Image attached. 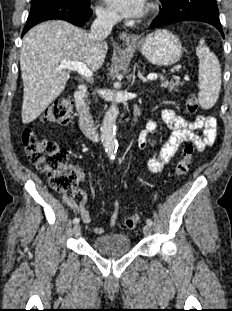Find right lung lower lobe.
I'll list each match as a JSON object with an SVG mask.
<instances>
[{
    "label": "right lung lower lobe",
    "mask_w": 232,
    "mask_h": 311,
    "mask_svg": "<svg viewBox=\"0 0 232 311\" xmlns=\"http://www.w3.org/2000/svg\"><path fill=\"white\" fill-rule=\"evenodd\" d=\"M92 15V10L71 3L58 1L43 2L31 6L30 14L23 30V35L34 25L52 19L68 21L76 26L84 24Z\"/></svg>",
    "instance_id": "right-lung-lower-lobe-1"
}]
</instances>
